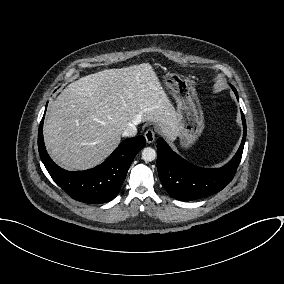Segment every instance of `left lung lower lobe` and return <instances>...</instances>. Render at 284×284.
Returning a JSON list of instances; mask_svg holds the SVG:
<instances>
[{
  "label": "left lung lower lobe",
  "mask_w": 284,
  "mask_h": 284,
  "mask_svg": "<svg viewBox=\"0 0 284 284\" xmlns=\"http://www.w3.org/2000/svg\"><path fill=\"white\" fill-rule=\"evenodd\" d=\"M235 94L238 99V94ZM241 116L243 122L241 145L235 156L221 168L196 167L172 151L162 138L157 140L158 174L169 195L180 201H190L217 193L230 183L241 161L246 139V121L243 112Z\"/></svg>",
  "instance_id": "0a47b994"
}]
</instances>
